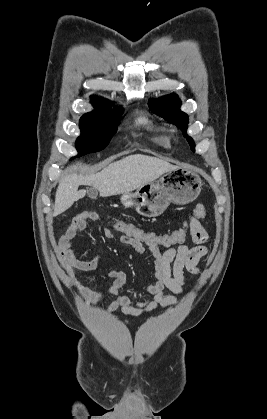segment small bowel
I'll return each mask as SVG.
<instances>
[{
    "label": "small bowel",
    "instance_id": "obj_1",
    "mask_svg": "<svg viewBox=\"0 0 267 419\" xmlns=\"http://www.w3.org/2000/svg\"><path fill=\"white\" fill-rule=\"evenodd\" d=\"M97 220L99 215L94 211H84L74 217L58 240L57 252L67 279L80 292L87 306L103 298L112 299L107 308L108 313L120 309L127 316L140 317L158 307L165 308L176 304L177 295L183 292L186 284L185 272L198 274L199 262L208 253L205 245L208 240L207 231L199 218L189 216V231L195 246L184 245V241L167 248L130 246L137 254H150L154 260V281L147 286V297L133 301L121 294L128 278L126 272L121 270H111L108 273L112 280L110 287L105 292H98L92 286H81L75 276V272L88 273L95 270L99 265L98 257L83 259L73 249L77 234L85 231L90 222ZM103 235L107 239H115L114 233L108 228L103 229ZM165 289L173 294L166 295Z\"/></svg>",
    "mask_w": 267,
    "mask_h": 419
}]
</instances>
